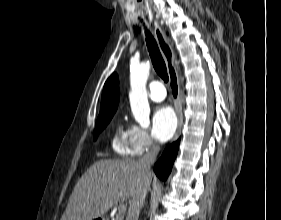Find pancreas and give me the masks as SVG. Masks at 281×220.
<instances>
[{"label": "pancreas", "mask_w": 281, "mask_h": 220, "mask_svg": "<svg viewBox=\"0 0 281 220\" xmlns=\"http://www.w3.org/2000/svg\"><path fill=\"white\" fill-rule=\"evenodd\" d=\"M123 219H124V215L119 213L114 220H123Z\"/></svg>", "instance_id": "1"}]
</instances>
